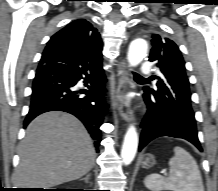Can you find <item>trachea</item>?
<instances>
[{
    "label": "trachea",
    "mask_w": 218,
    "mask_h": 191,
    "mask_svg": "<svg viewBox=\"0 0 218 191\" xmlns=\"http://www.w3.org/2000/svg\"><path fill=\"white\" fill-rule=\"evenodd\" d=\"M135 77L137 78H141V79H144L143 77H141L140 75H138L137 73H134Z\"/></svg>",
    "instance_id": "1"
}]
</instances>
